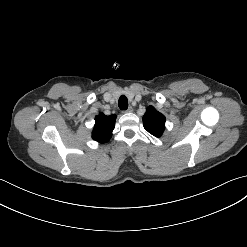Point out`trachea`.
Masks as SVG:
<instances>
[{
  "mask_svg": "<svg viewBox=\"0 0 247 247\" xmlns=\"http://www.w3.org/2000/svg\"><path fill=\"white\" fill-rule=\"evenodd\" d=\"M118 106H119V108L121 110H127V108H128V99L126 98V96L122 95L119 98Z\"/></svg>",
  "mask_w": 247,
  "mask_h": 247,
  "instance_id": "obj_1",
  "label": "trachea"
}]
</instances>
